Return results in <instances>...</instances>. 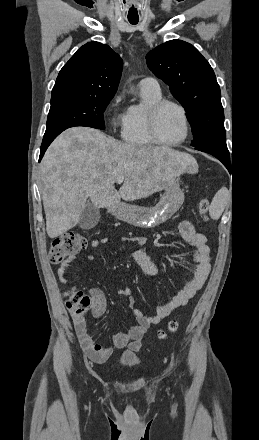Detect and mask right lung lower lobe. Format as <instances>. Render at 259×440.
<instances>
[{"mask_svg":"<svg viewBox=\"0 0 259 440\" xmlns=\"http://www.w3.org/2000/svg\"><path fill=\"white\" fill-rule=\"evenodd\" d=\"M65 130V129H64ZM64 130H60L58 132H55L51 135H47L43 137V141H42V145H41V150H40V157H39V161L42 159L46 149L48 148V146L51 144V142Z\"/></svg>","mask_w":259,"mask_h":440,"instance_id":"1","label":"right lung lower lobe"}]
</instances>
